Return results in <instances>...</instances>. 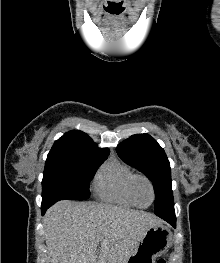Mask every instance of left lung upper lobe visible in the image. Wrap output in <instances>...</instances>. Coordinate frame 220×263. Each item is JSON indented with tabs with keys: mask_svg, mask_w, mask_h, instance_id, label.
<instances>
[{
	"mask_svg": "<svg viewBox=\"0 0 220 263\" xmlns=\"http://www.w3.org/2000/svg\"><path fill=\"white\" fill-rule=\"evenodd\" d=\"M119 157L144 173L155 191V214L174 210L171 184V168L160 145L148 134H135L116 148Z\"/></svg>",
	"mask_w": 220,
	"mask_h": 263,
	"instance_id": "left-lung-upper-lobe-1",
	"label": "left lung upper lobe"
}]
</instances>
